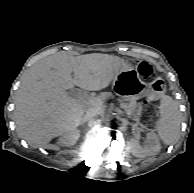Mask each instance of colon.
<instances>
[{
	"instance_id": "1",
	"label": "colon",
	"mask_w": 194,
	"mask_h": 193,
	"mask_svg": "<svg viewBox=\"0 0 194 193\" xmlns=\"http://www.w3.org/2000/svg\"><path fill=\"white\" fill-rule=\"evenodd\" d=\"M137 71L144 78H150L153 75V67L148 62L139 63ZM144 104H148V101L145 100Z\"/></svg>"
}]
</instances>
